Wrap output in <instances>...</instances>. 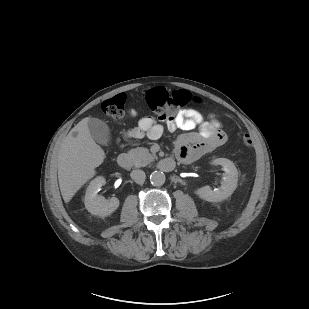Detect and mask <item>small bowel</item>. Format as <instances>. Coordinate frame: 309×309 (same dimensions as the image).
Wrapping results in <instances>:
<instances>
[{
    "instance_id": "obj_1",
    "label": "small bowel",
    "mask_w": 309,
    "mask_h": 309,
    "mask_svg": "<svg viewBox=\"0 0 309 309\" xmlns=\"http://www.w3.org/2000/svg\"><path fill=\"white\" fill-rule=\"evenodd\" d=\"M165 125L171 132L177 129L184 131L175 144V156L184 163L199 159L226 141L221 125L214 119L204 120L201 113L194 109L179 111L175 116L167 118ZM163 130V126L153 117L146 116L130 131V136L158 139Z\"/></svg>"
}]
</instances>
